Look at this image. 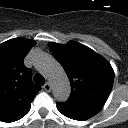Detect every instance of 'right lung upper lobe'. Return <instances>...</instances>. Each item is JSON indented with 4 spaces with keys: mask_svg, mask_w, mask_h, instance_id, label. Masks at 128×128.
<instances>
[{
    "mask_svg": "<svg viewBox=\"0 0 128 128\" xmlns=\"http://www.w3.org/2000/svg\"><path fill=\"white\" fill-rule=\"evenodd\" d=\"M34 41L14 38L0 44V121H5L31 104L41 89L32 82L24 58Z\"/></svg>",
    "mask_w": 128,
    "mask_h": 128,
    "instance_id": "cb5924a9",
    "label": "right lung upper lobe"
}]
</instances>
